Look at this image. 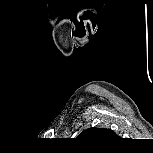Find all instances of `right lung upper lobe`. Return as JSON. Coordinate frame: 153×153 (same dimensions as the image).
<instances>
[{
    "label": "right lung upper lobe",
    "instance_id": "1",
    "mask_svg": "<svg viewBox=\"0 0 153 153\" xmlns=\"http://www.w3.org/2000/svg\"><path fill=\"white\" fill-rule=\"evenodd\" d=\"M77 138L83 141H97L103 139L117 138V135L109 129L92 127L84 130Z\"/></svg>",
    "mask_w": 153,
    "mask_h": 153
}]
</instances>
